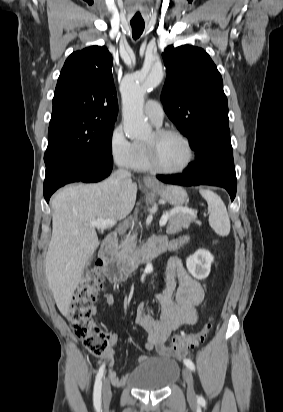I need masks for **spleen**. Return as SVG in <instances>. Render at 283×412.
Here are the masks:
<instances>
[{"mask_svg": "<svg viewBox=\"0 0 283 412\" xmlns=\"http://www.w3.org/2000/svg\"><path fill=\"white\" fill-rule=\"evenodd\" d=\"M200 194L208 204L209 224L211 228L218 235L227 236L230 233V219L222 199L210 190H200Z\"/></svg>", "mask_w": 283, "mask_h": 412, "instance_id": "1", "label": "spleen"}]
</instances>
